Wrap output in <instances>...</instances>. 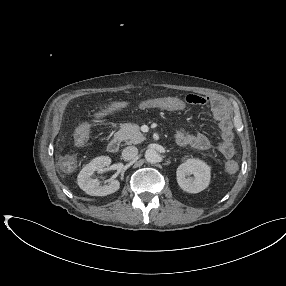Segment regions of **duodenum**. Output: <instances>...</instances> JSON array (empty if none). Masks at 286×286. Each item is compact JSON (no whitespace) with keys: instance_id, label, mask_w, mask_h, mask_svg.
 Listing matches in <instances>:
<instances>
[{"instance_id":"duodenum-1","label":"duodenum","mask_w":286,"mask_h":286,"mask_svg":"<svg viewBox=\"0 0 286 286\" xmlns=\"http://www.w3.org/2000/svg\"><path fill=\"white\" fill-rule=\"evenodd\" d=\"M120 145H121L120 138L117 136H114L108 141L107 148L109 152L116 153L119 150Z\"/></svg>"}]
</instances>
